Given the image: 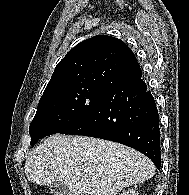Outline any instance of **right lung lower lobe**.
<instances>
[{"label": "right lung lower lobe", "instance_id": "1", "mask_svg": "<svg viewBox=\"0 0 189 195\" xmlns=\"http://www.w3.org/2000/svg\"><path fill=\"white\" fill-rule=\"evenodd\" d=\"M60 133L119 142L145 154L160 169L159 114L141 77L111 91L82 119Z\"/></svg>", "mask_w": 189, "mask_h": 195}]
</instances>
